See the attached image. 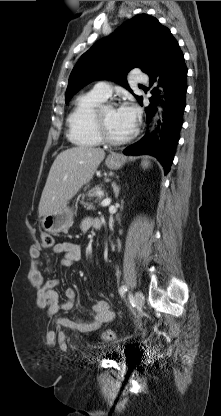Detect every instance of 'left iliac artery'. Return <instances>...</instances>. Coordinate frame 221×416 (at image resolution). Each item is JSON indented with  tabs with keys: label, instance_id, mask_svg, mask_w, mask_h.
Here are the masks:
<instances>
[{
	"label": "left iliac artery",
	"instance_id": "left-iliac-artery-1",
	"mask_svg": "<svg viewBox=\"0 0 221 416\" xmlns=\"http://www.w3.org/2000/svg\"><path fill=\"white\" fill-rule=\"evenodd\" d=\"M126 291H127V286L125 285L121 286L119 289V293L121 296H123L126 293Z\"/></svg>",
	"mask_w": 221,
	"mask_h": 416
}]
</instances>
